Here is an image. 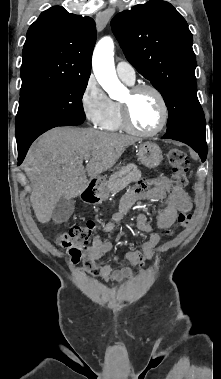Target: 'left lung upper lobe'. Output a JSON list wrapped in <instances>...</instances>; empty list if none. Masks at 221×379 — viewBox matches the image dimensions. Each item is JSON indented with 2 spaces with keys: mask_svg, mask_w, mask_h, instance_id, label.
<instances>
[{
  "mask_svg": "<svg viewBox=\"0 0 221 379\" xmlns=\"http://www.w3.org/2000/svg\"><path fill=\"white\" fill-rule=\"evenodd\" d=\"M111 26L127 60L163 96L169 113L167 132L205 138L193 37L181 14L166 1L151 0L118 13Z\"/></svg>",
  "mask_w": 221,
  "mask_h": 379,
  "instance_id": "5c2ea615",
  "label": "left lung upper lobe"
}]
</instances>
